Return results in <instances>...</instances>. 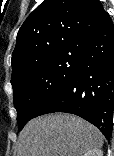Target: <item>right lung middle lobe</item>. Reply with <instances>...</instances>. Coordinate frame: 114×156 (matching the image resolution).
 <instances>
[{"label": "right lung middle lobe", "mask_w": 114, "mask_h": 156, "mask_svg": "<svg viewBox=\"0 0 114 156\" xmlns=\"http://www.w3.org/2000/svg\"><path fill=\"white\" fill-rule=\"evenodd\" d=\"M82 58V47L77 45L37 62L11 81L20 130L64 90Z\"/></svg>", "instance_id": "1"}]
</instances>
